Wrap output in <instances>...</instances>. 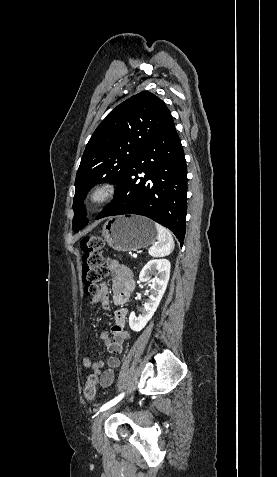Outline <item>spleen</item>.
I'll return each mask as SVG.
<instances>
[{
	"label": "spleen",
	"mask_w": 277,
	"mask_h": 477,
	"mask_svg": "<svg viewBox=\"0 0 277 477\" xmlns=\"http://www.w3.org/2000/svg\"><path fill=\"white\" fill-rule=\"evenodd\" d=\"M157 229V243L150 247L148 253L152 257H164L174 249V241L170 232L160 224L155 223Z\"/></svg>",
	"instance_id": "3e777b00"
}]
</instances>
